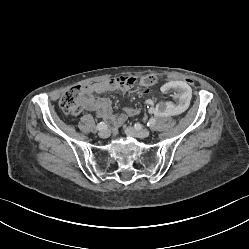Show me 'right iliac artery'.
I'll use <instances>...</instances> for the list:
<instances>
[{
  "mask_svg": "<svg viewBox=\"0 0 249 249\" xmlns=\"http://www.w3.org/2000/svg\"><path fill=\"white\" fill-rule=\"evenodd\" d=\"M105 127H106V125H105L104 122H100V123L97 124V129L98 130H103Z\"/></svg>",
  "mask_w": 249,
  "mask_h": 249,
  "instance_id": "82829eb1",
  "label": "right iliac artery"
}]
</instances>
